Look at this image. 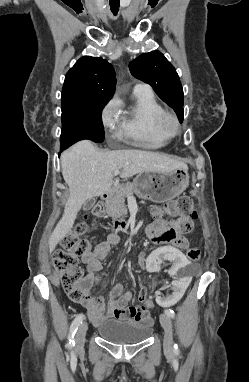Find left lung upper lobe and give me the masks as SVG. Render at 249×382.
Instances as JSON below:
<instances>
[{"label":"left lung upper lobe","instance_id":"left-lung-upper-lobe-1","mask_svg":"<svg viewBox=\"0 0 249 382\" xmlns=\"http://www.w3.org/2000/svg\"><path fill=\"white\" fill-rule=\"evenodd\" d=\"M131 74L150 84L157 95L171 106L183 121V90L172 64L159 51L144 53L129 64Z\"/></svg>","mask_w":249,"mask_h":382}]
</instances>
